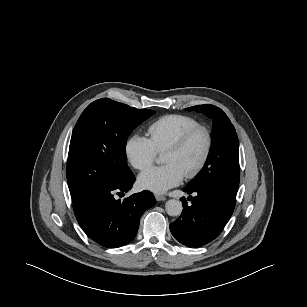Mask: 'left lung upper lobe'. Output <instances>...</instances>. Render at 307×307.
I'll return each mask as SVG.
<instances>
[{"instance_id":"obj_1","label":"left lung upper lobe","mask_w":307,"mask_h":307,"mask_svg":"<svg viewBox=\"0 0 307 307\" xmlns=\"http://www.w3.org/2000/svg\"><path fill=\"white\" fill-rule=\"evenodd\" d=\"M203 112L213 120L212 146L203 169L188 187H211L236 202L239 186L238 137L227 115L216 106L205 104L188 108Z\"/></svg>"}]
</instances>
